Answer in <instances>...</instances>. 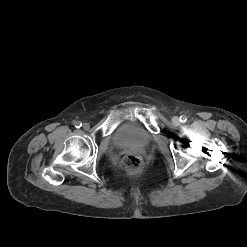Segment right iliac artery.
<instances>
[{
  "label": "right iliac artery",
  "instance_id": "right-iliac-artery-1",
  "mask_svg": "<svg viewBox=\"0 0 247 247\" xmlns=\"http://www.w3.org/2000/svg\"><path fill=\"white\" fill-rule=\"evenodd\" d=\"M74 126L76 128H80L82 126V123L80 121H76V122H74Z\"/></svg>",
  "mask_w": 247,
  "mask_h": 247
}]
</instances>
